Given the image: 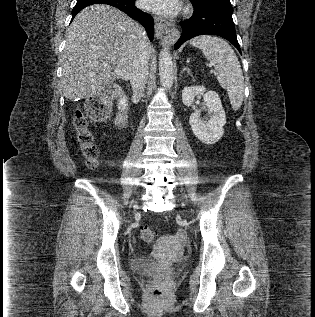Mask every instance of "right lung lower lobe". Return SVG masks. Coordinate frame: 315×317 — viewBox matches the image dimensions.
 Here are the masks:
<instances>
[{"instance_id":"right-lung-lower-lobe-1","label":"right lung lower lobe","mask_w":315,"mask_h":317,"mask_svg":"<svg viewBox=\"0 0 315 317\" xmlns=\"http://www.w3.org/2000/svg\"><path fill=\"white\" fill-rule=\"evenodd\" d=\"M93 4H108L125 12L131 18L138 20L146 29L149 39L152 41L154 36V21L153 18L137 9L135 0H77L75 7L72 10V19L83 8Z\"/></svg>"}]
</instances>
